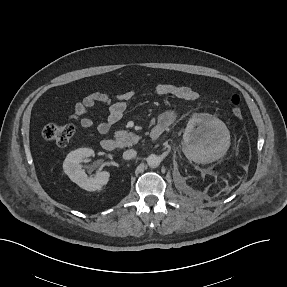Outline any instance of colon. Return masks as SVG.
Returning a JSON list of instances; mask_svg holds the SVG:
<instances>
[{
  "instance_id": "1",
  "label": "colon",
  "mask_w": 287,
  "mask_h": 287,
  "mask_svg": "<svg viewBox=\"0 0 287 287\" xmlns=\"http://www.w3.org/2000/svg\"><path fill=\"white\" fill-rule=\"evenodd\" d=\"M230 110L234 118H243L242 100L239 95H233L231 97ZM42 134L46 140L58 146H65L76 135V129L72 125L48 124L44 127Z\"/></svg>"
}]
</instances>
